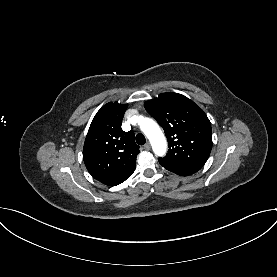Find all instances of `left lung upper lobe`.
Returning a JSON list of instances; mask_svg holds the SVG:
<instances>
[{
	"label": "left lung upper lobe",
	"mask_w": 277,
	"mask_h": 277,
	"mask_svg": "<svg viewBox=\"0 0 277 277\" xmlns=\"http://www.w3.org/2000/svg\"><path fill=\"white\" fill-rule=\"evenodd\" d=\"M146 110L163 127L169 150L160 164L168 169L200 170L212 149L211 123L189 98L178 93H162L146 101Z\"/></svg>",
	"instance_id": "1"
}]
</instances>
